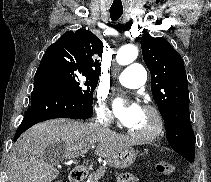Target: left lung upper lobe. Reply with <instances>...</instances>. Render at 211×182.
I'll return each instance as SVG.
<instances>
[{
  "label": "left lung upper lobe",
  "mask_w": 211,
  "mask_h": 182,
  "mask_svg": "<svg viewBox=\"0 0 211 182\" xmlns=\"http://www.w3.org/2000/svg\"><path fill=\"white\" fill-rule=\"evenodd\" d=\"M143 59L151 73V91L164 119L170 146L189 162L195 158V136L190 122L186 70L181 55L164 38L144 34Z\"/></svg>",
  "instance_id": "obj_1"
}]
</instances>
